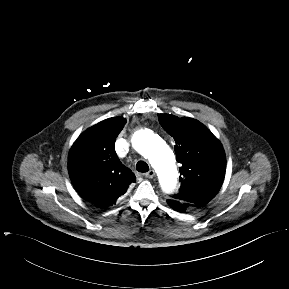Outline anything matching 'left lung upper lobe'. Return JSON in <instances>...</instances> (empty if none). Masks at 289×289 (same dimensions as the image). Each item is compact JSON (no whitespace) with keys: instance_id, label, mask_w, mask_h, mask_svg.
I'll use <instances>...</instances> for the list:
<instances>
[{"instance_id":"obj_1","label":"left lung upper lobe","mask_w":289,"mask_h":289,"mask_svg":"<svg viewBox=\"0 0 289 289\" xmlns=\"http://www.w3.org/2000/svg\"><path fill=\"white\" fill-rule=\"evenodd\" d=\"M163 129L176 142L181 187L173 196L183 202L206 205L220 189L226 171V156L219 140L199 121L159 114Z\"/></svg>"}]
</instances>
